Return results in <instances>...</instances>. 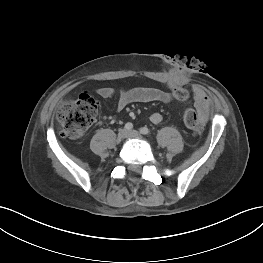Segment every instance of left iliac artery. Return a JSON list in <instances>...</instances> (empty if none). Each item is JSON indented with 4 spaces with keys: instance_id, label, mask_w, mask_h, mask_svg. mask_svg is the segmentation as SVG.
<instances>
[{
    "instance_id": "obj_1",
    "label": "left iliac artery",
    "mask_w": 263,
    "mask_h": 263,
    "mask_svg": "<svg viewBox=\"0 0 263 263\" xmlns=\"http://www.w3.org/2000/svg\"><path fill=\"white\" fill-rule=\"evenodd\" d=\"M140 132H141L142 134H144V135H147V134L150 133V131H149V129H148L147 127H142V128L140 129Z\"/></svg>"
}]
</instances>
